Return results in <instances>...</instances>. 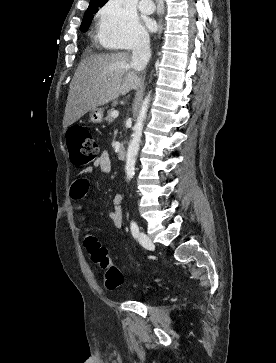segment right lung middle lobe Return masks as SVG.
Wrapping results in <instances>:
<instances>
[{
    "label": "right lung middle lobe",
    "mask_w": 276,
    "mask_h": 363,
    "mask_svg": "<svg viewBox=\"0 0 276 363\" xmlns=\"http://www.w3.org/2000/svg\"><path fill=\"white\" fill-rule=\"evenodd\" d=\"M99 7H100L99 4L90 5L88 7V9L86 10V12L84 14L82 24L80 26L81 31L86 32L88 30L89 25L94 17V14L97 13V11L99 10Z\"/></svg>",
    "instance_id": "dd1d6c3e"
}]
</instances>
